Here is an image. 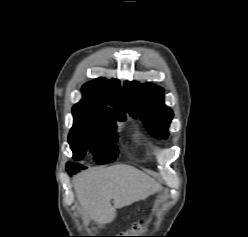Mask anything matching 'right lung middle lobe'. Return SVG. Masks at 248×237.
Segmentation results:
<instances>
[{
	"instance_id": "right-lung-middle-lobe-1",
	"label": "right lung middle lobe",
	"mask_w": 248,
	"mask_h": 237,
	"mask_svg": "<svg viewBox=\"0 0 248 237\" xmlns=\"http://www.w3.org/2000/svg\"><path fill=\"white\" fill-rule=\"evenodd\" d=\"M74 125L69 133L68 142L78 160L84 157L87 150L93 153L94 161L105 164L115 160L118 149L116 121H124L125 116L98 117L73 110ZM82 165L67 163L66 169L79 168Z\"/></svg>"
}]
</instances>
